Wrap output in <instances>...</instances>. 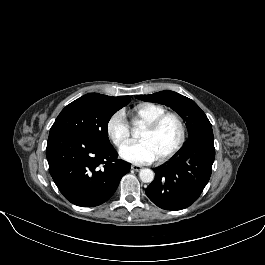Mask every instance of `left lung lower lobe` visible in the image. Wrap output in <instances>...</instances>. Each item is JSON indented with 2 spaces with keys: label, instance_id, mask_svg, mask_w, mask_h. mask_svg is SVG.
<instances>
[{
  "label": "left lung lower lobe",
  "instance_id": "0a47b994",
  "mask_svg": "<svg viewBox=\"0 0 265 265\" xmlns=\"http://www.w3.org/2000/svg\"><path fill=\"white\" fill-rule=\"evenodd\" d=\"M212 128L188 137L175 158L156 167L155 179L146 189L148 198L165 210H181L192 205L207 185L215 159Z\"/></svg>",
  "mask_w": 265,
  "mask_h": 265
}]
</instances>
